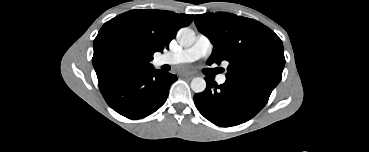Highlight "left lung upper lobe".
Masks as SVG:
<instances>
[{
	"label": "left lung upper lobe",
	"instance_id": "1",
	"mask_svg": "<svg viewBox=\"0 0 369 152\" xmlns=\"http://www.w3.org/2000/svg\"><path fill=\"white\" fill-rule=\"evenodd\" d=\"M198 30L213 44L208 64L229 62L226 79L274 89L285 64L281 39L260 22L230 13L195 16Z\"/></svg>",
	"mask_w": 369,
	"mask_h": 152
}]
</instances>
